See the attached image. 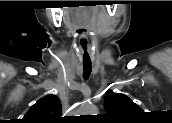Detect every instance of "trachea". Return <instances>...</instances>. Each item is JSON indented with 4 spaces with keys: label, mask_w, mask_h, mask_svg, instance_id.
<instances>
[{
    "label": "trachea",
    "mask_w": 172,
    "mask_h": 123,
    "mask_svg": "<svg viewBox=\"0 0 172 123\" xmlns=\"http://www.w3.org/2000/svg\"><path fill=\"white\" fill-rule=\"evenodd\" d=\"M84 58L87 56L89 58V54L87 52V48L84 49ZM83 68H84V78L87 79L91 73L92 70V63L89 61L88 63L83 61Z\"/></svg>",
    "instance_id": "obj_1"
}]
</instances>
